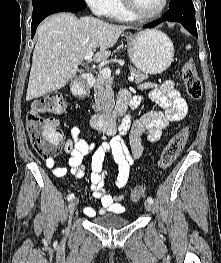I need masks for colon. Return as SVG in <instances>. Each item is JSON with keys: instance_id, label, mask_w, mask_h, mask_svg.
Wrapping results in <instances>:
<instances>
[{"instance_id": "obj_1", "label": "colon", "mask_w": 221, "mask_h": 263, "mask_svg": "<svg viewBox=\"0 0 221 263\" xmlns=\"http://www.w3.org/2000/svg\"><path fill=\"white\" fill-rule=\"evenodd\" d=\"M182 79L189 98L193 101L200 100L203 92L202 82L191 61L183 65ZM65 108L66 102L61 93H49L35 100L27 114V130L31 145L43 159L49 160L56 157L64 141L58 120L46 114H60ZM188 136V129H182L169 140L160 155L159 169L168 168L177 159ZM144 195L145 191L142 187H135L131 191L130 199L136 202Z\"/></svg>"}]
</instances>
